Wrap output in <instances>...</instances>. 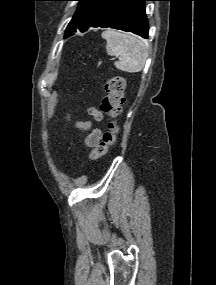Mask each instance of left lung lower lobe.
Masks as SVG:
<instances>
[{
  "instance_id": "0a47b994",
  "label": "left lung lower lobe",
  "mask_w": 216,
  "mask_h": 285,
  "mask_svg": "<svg viewBox=\"0 0 216 285\" xmlns=\"http://www.w3.org/2000/svg\"><path fill=\"white\" fill-rule=\"evenodd\" d=\"M151 0H116L105 9L92 24L81 30L85 32L90 27L114 28L148 38V20L145 13V2ZM70 33L66 36L73 35Z\"/></svg>"
}]
</instances>
